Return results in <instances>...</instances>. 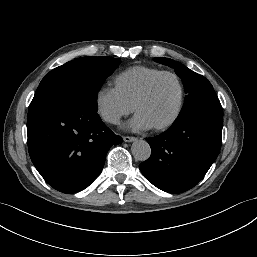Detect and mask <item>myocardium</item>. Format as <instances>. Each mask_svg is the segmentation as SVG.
<instances>
[{
    "label": "myocardium",
    "instance_id": "f54148a6",
    "mask_svg": "<svg viewBox=\"0 0 257 257\" xmlns=\"http://www.w3.org/2000/svg\"><path fill=\"white\" fill-rule=\"evenodd\" d=\"M165 76H171L177 82V85H178V88H179V98H178V103H177L176 109H175L174 113L172 114V116L168 120H166L165 122L153 126V128L155 130H164V129L169 128L170 126H172L178 120L179 116L181 115V112L183 110L184 103H185V87H184L183 81L180 78V76L178 74H176L175 72H172V71H162L161 73H159L158 75L153 77L146 84V86L140 92V94L138 95V97L136 98V100L133 104L134 111H137L138 105L141 102H143L145 99L148 98V96L151 94V92H152L154 86L156 85V83L161 78H163Z\"/></svg>",
    "mask_w": 257,
    "mask_h": 257
}]
</instances>
